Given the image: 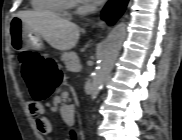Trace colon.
<instances>
[{"label":"colon","mask_w":182,"mask_h":140,"mask_svg":"<svg viewBox=\"0 0 182 140\" xmlns=\"http://www.w3.org/2000/svg\"><path fill=\"white\" fill-rule=\"evenodd\" d=\"M20 61L22 75L33 99L42 101L50 97L61 80V70L57 62L35 52H24ZM72 136L76 140L74 132Z\"/></svg>","instance_id":"obj_1"}]
</instances>
